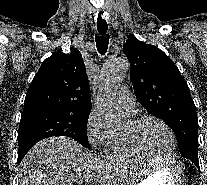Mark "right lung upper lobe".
<instances>
[{"instance_id":"cb5924a9","label":"right lung upper lobe","mask_w":207,"mask_h":185,"mask_svg":"<svg viewBox=\"0 0 207 185\" xmlns=\"http://www.w3.org/2000/svg\"><path fill=\"white\" fill-rule=\"evenodd\" d=\"M53 110L89 114L90 85L79 50L45 59L27 91L23 112Z\"/></svg>"}]
</instances>
